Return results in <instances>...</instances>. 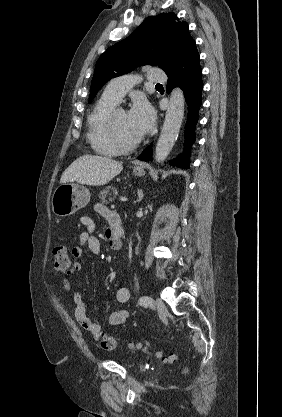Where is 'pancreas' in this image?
<instances>
[{
    "mask_svg": "<svg viewBox=\"0 0 282 417\" xmlns=\"http://www.w3.org/2000/svg\"><path fill=\"white\" fill-rule=\"evenodd\" d=\"M107 194H110L108 200L106 198ZM118 194V190L116 186H106L105 190H101L99 194V198L105 202V204H108L109 200H115L116 196Z\"/></svg>",
    "mask_w": 282,
    "mask_h": 417,
    "instance_id": "cf45deb5",
    "label": "pancreas"
}]
</instances>
